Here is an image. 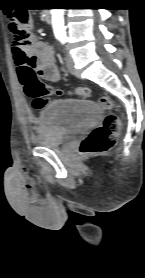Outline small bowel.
Masks as SVG:
<instances>
[{
	"mask_svg": "<svg viewBox=\"0 0 145 278\" xmlns=\"http://www.w3.org/2000/svg\"><path fill=\"white\" fill-rule=\"evenodd\" d=\"M11 52L21 87L23 77L28 73H34V71L50 82H58L61 79V72L55 63L53 50L49 46L41 44L37 46L35 51H26L14 41L11 45ZM30 120L36 122L34 118Z\"/></svg>",
	"mask_w": 145,
	"mask_h": 278,
	"instance_id": "obj_1",
	"label": "small bowel"
}]
</instances>
